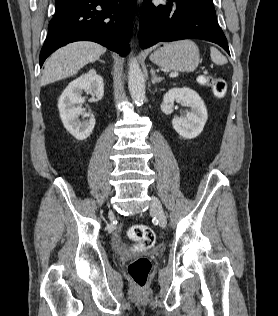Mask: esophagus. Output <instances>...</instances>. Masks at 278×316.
Instances as JSON below:
<instances>
[{"instance_id": "obj_1", "label": "esophagus", "mask_w": 278, "mask_h": 316, "mask_svg": "<svg viewBox=\"0 0 278 316\" xmlns=\"http://www.w3.org/2000/svg\"><path fill=\"white\" fill-rule=\"evenodd\" d=\"M138 3L140 4V3H141V0H138Z\"/></svg>"}]
</instances>
